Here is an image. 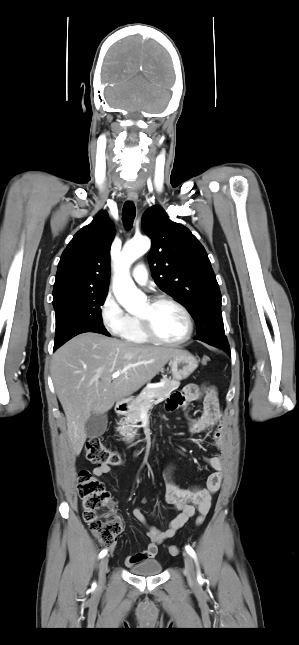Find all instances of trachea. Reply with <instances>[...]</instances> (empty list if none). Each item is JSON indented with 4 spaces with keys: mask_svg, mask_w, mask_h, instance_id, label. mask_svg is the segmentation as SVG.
<instances>
[{
    "mask_svg": "<svg viewBox=\"0 0 299 645\" xmlns=\"http://www.w3.org/2000/svg\"><path fill=\"white\" fill-rule=\"evenodd\" d=\"M136 215V208L134 204L130 201L126 202L123 207L122 211V220L124 223V226L127 229H130L133 225V221Z\"/></svg>",
    "mask_w": 299,
    "mask_h": 645,
    "instance_id": "3493384b",
    "label": "trachea"
}]
</instances>
